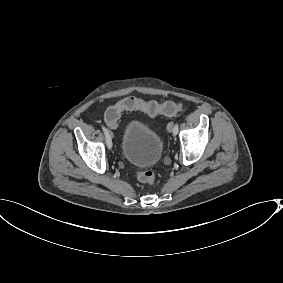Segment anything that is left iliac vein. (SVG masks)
<instances>
[{
    "mask_svg": "<svg viewBox=\"0 0 283 283\" xmlns=\"http://www.w3.org/2000/svg\"><path fill=\"white\" fill-rule=\"evenodd\" d=\"M173 129H174V125H173L172 122H170V123L168 124V126H167V130H168L169 132H173Z\"/></svg>",
    "mask_w": 283,
    "mask_h": 283,
    "instance_id": "obj_1",
    "label": "left iliac vein"
}]
</instances>
